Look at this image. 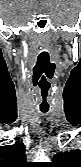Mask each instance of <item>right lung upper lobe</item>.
Segmentation results:
<instances>
[{
	"label": "right lung upper lobe",
	"instance_id": "obj_1",
	"mask_svg": "<svg viewBox=\"0 0 81 167\" xmlns=\"http://www.w3.org/2000/svg\"><path fill=\"white\" fill-rule=\"evenodd\" d=\"M22 142L0 147V167H30Z\"/></svg>",
	"mask_w": 81,
	"mask_h": 167
}]
</instances>
